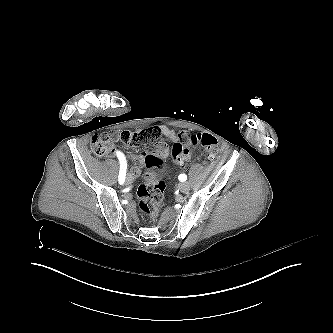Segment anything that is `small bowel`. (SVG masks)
I'll list each match as a JSON object with an SVG mask.
<instances>
[{
    "mask_svg": "<svg viewBox=\"0 0 333 333\" xmlns=\"http://www.w3.org/2000/svg\"><path fill=\"white\" fill-rule=\"evenodd\" d=\"M151 128L158 129L159 132L161 133V136L169 139L170 141H172L174 143H177V142L180 141V139H184V138L187 137L186 132H177L174 129H172V128L166 126V125H163V124L155 125ZM116 151H117V149L110 150L109 151V156L115 158L117 156ZM189 157H190V155H188L187 157L179 156V157H176V158H173V157L172 158L177 164L183 165L185 163V161H187L189 159ZM134 159L139 161L141 159V156H135ZM139 175H140V170L137 167H131L128 174H127V177H126L127 183H129V184L133 183L134 180Z\"/></svg>",
    "mask_w": 333,
    "mask_h": 333,
    "instance_id": "small-bowel-1",
    "label": "small bowel"
}]
</instances>
